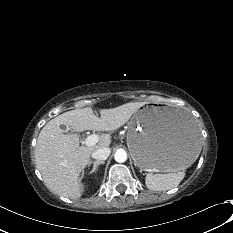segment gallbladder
Wrapping results in <instances>:
<instances>
[{
  "instance_id": "bac80fb5",
  "label": "gallbladder",
  "mask_w": 233,
  "mask_h": 233,
  "mask_svg": "<svg viewBox=\"0 0 233 233\" xmlns=\"http://www.w3.org/2000/svg\"><path fill=\"white\" fill-rule=\"evenodd\" d=\"M60 128L63 129V130H65V131L69 130L68 126H65V125H60Z\"/></svg>"
}]
</instances>
